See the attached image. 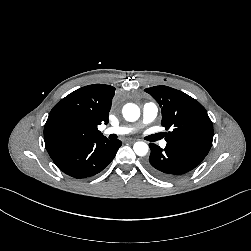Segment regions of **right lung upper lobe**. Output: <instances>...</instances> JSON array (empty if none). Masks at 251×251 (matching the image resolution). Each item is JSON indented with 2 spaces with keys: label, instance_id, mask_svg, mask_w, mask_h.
I'll return each instance as SVG.
<instances>
[{
  "label": "right lung upper lobe",
  "instance_id": "cb5924a9",
  "mask_svg": "<svg viewBox=\"0 0 251 251\" xmlns=\"http://www.w3.org/2000/svg\"><path fill=\"white\" fill-rule=\"evenodd\" d=\"M115 88L93 84L70 93L51 110L44 127V141L51 158L80 142L102 138L97 129L108 123Z\"/></svg>",
  "mask_w": 251,
  "mask_h": 251
}]
</instances>
